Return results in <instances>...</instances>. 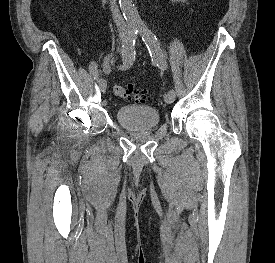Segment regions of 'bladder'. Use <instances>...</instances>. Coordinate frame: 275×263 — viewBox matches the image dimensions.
<instances>
[{
    "label": "bladder",
    "mask_w": 275,
    "mask_h": 263,
    "mask_svg": "<svg viewBox=\"0 0 275 263\" xmlns=\"http://www.w3.org/2000/svg\"><path fill=\"white\" fill-rule=\"evenodd\" d=\"M117 122L127 130L139 131L153 129L160 122L159 112L149 106H123L115 112Z\"/></svg>",
    "instance_id": "1"
}]
</instances>
